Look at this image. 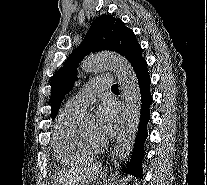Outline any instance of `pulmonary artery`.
<instances>
[{"instance_id": "1", "label": "pulmonary artery", "mask_w": 207, "mask_h": 185, "mask_svg": "<svg viewBox=\"0 0 207 185\" xmlns=\"http://www.w3.org/2000/svg\"><path fill=\"white\" fill-rule=\"evenodd\" d=\"M113 77H96V81H88V86H82V92L71 98L66 103L68 111L79 113L92 100L93 96L100 91H110Z\"/></svg>"}]
</instances>
